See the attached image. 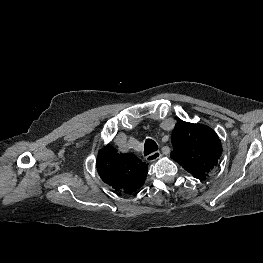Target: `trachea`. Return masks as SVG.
Here are the masks:
<instances>
[{"mask_svg":"<svg viewBox=\"0 0 263 263\" xmlns=\"http://www.w3.org/2000/svg\"><path fill=\"white\" fill-rule=\"evenodd\" d=\"M158 150V145L152 139H147L144 146V155L147 156Z\"/></svg>","mask_w":263,"mask_h":263,"instance_id":"1","label":"trachea"}]
</instances>
